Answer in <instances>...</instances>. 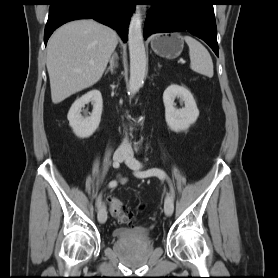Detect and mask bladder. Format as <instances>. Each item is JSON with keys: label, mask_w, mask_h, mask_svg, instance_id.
<instances>
[{"label": "bladder", "mask_w": 278, "mask_h": 278, "mask_svg": "<svg viewBox=\"0 0 278 278\" xmlns=\"http://www.w3.org/2000/svg\"><path fill=\"white\" fill-rule=\"evenodd\" d=\"M113 237L118 241H148L150 232L144 228L119 227L112 232Z\"/></svg>", "instance_id": "1"}]
</instances>
